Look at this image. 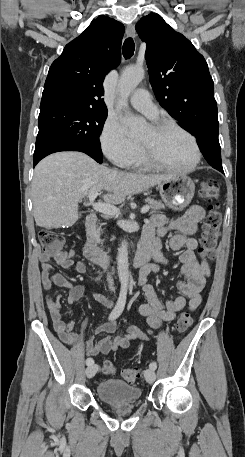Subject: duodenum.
<instances>
[{"label":"duodenum","instance_id":"obj_1","mask_svg":"<svg viewBox=\"0 0 245 457\" xmlns=\"http://www.w3.org/2000/svg\"><path fill=\"white\" fill-rule=\"evenodd\" d=\"M97 222V216L95 214H89L85 219V227L88 232H91ZM86 257L92 263L102 266L108 267L111 263V258L107 253L104 251L96 248L95 246L89 244L85 250ZM153 252L150 248L147 247H140L139 250L132 258V263L134 267H141L149 262L152 258Z\"/></svg>","mask_w":245,"mask_h":457}]
</instances>
